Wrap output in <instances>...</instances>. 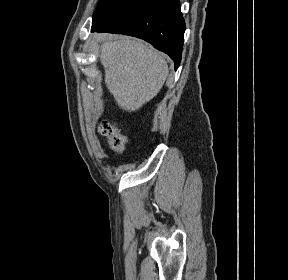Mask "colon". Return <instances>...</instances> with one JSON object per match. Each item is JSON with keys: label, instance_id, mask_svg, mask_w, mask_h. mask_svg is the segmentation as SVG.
Wrapping results in <instances>:
<instances>
[{"label": "colon", "instance_id": "colon-1", "mask_svg": "<svg viewBox=\"0 0 288 280\" xmlns=\"http://www.w3.org/2000/svg\"><path fill=\"white\" fill-rule=\"evenodd\" d=\"M99 132L108 141L111 149L116 154L124 152L129 139L125 135H122L114 125L102 122L99 126Z\"/></svg>", "mask_w": 288, "mask_h": 280}]
</instances>
